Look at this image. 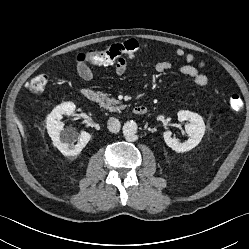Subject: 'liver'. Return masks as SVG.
<instances>
[{
	"mask_svg": "<svg viewBox=\"0 0 249 249\" xmlns=\"http://www.w3.org/2000/svg\"><path fill=\"white\" fill-rule=\"evenodd\" d=\"M18 126H19L21 132L23 133V126H22V124L20 122L18 123Z\"/></svg>",
	"mask_w": 249,
	"mask_h": 249,
	"instance_id": "1",
	"label": "liver"
}]
</instances>
